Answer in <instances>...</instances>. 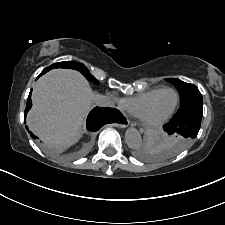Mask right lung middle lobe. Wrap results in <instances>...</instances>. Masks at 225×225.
Wrapping results in <instances>:
<instances>
[{"label": "right lung middle lobe", "mask_w": 225, "mask_h": 225, "mask_svg": "<svg viewBox=\"0 0 225 225\" xmlns=\"http://www.w3.org/2000/svg\"><path fill=\"white\" fill-rule=\"evenodd\" d=\"M47 68L48 69H54V68L76 69V70L80 71L86 77L87 80L92 81L95 84L99 83L98 80L90 74L88 69L83 64H80L78 62L63 61V62L54 63V64H52L51 66H49Z\"/></svg>", "instance_id": "dd1d6c3e"}]
</instances>
